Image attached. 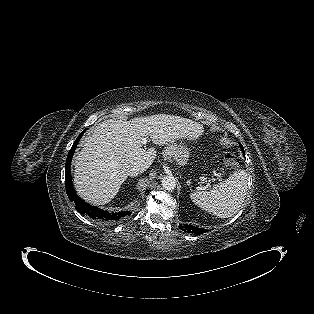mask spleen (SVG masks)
Here are the masks:
<instances>
[{
  "label": "spleen",
  "mask_w": 314,
  "mask_h": 314,
  "mask_svg": "<svg viewBox=\"0 0 314 314\" xmlns=\"http://www.w3.org/2000/svg\"><path fill=\"white\" fill-rule=\"evenodd\" d=\"M246 194L247 173L238 170L210 190L191 193L190 198L201 209L219 218H229L239 211Z\"/></svg>",
  "instance_id": "3e777b00"
}]
</instances>
